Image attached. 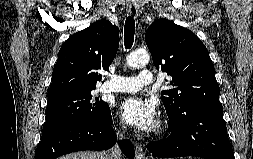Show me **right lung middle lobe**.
Here are the masks:
<instances>
[{"label": "right lung middle lobe", "instance_id": "right-lung-middle-lobe-1", "mask_svg": "<svg viewBox=\"0 0 253 159\" xmlns=\"http://www.w3.org/2000/svg\"><path fill=\"white\" fill-rule=\"evenodd\" d=\"M109 109L106 102L93 98L91 91L50 98L42 136L78 119H102Z\"/></svg>", "mask_w": 253, "mask_h": 159}]
</instances>
